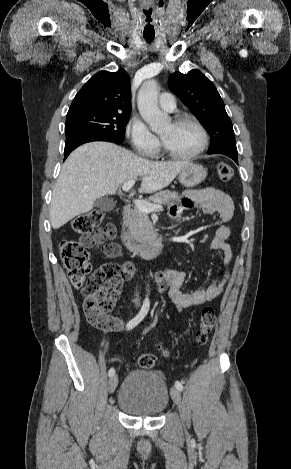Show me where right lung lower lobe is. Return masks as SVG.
I'll list each match as a JSON object with an SVG mask.
<instances>
[{"label": "right lung lower lobe", "instance_id": "1", "mask_svg": "<svg viewBox=\"0 0 291 469\" xmlns=\"http://www.w3.org/2000/svg\"><path fill=\"white\" fill-rule=\"evenodd\" d=\"M92 141H108L116 144H121L123 139L106 137V136H75L66 139L65 150H64V160L67 156L78 146Z\"/></svg>", "mask_w": 291, "mask_h": 469}]
</instances>
